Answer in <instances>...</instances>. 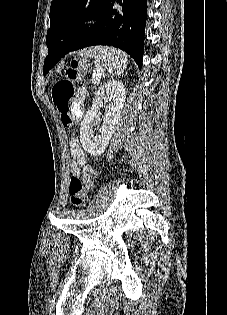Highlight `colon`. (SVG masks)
<instances>
[{
	"label": "colon",
	"mask_w": 227,
	"mask_h": 315,
	"mask_svg": "<svg viewBox=\"0 0 227 315\" xmlns=\"http://www.w3.org/2000/svg\"><path fill=\"white\" fill-rule=\"evenodd\" d=\"M84 63L74 60L63 70V77L58 79L52 87V98L60 114L64 127L71 128L77 118L78 112L71 104L74 96V83L81 78ZM69 197L73 205L82 206L89 198V188L79 175H75L69 182Z\"/></svg>",
	"instance_id": "obj_1"
}]
</instances>
